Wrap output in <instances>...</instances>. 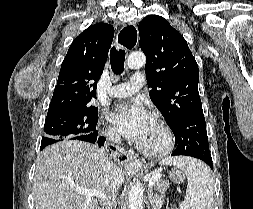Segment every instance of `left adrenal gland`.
I'll use <instances>...</instances> for the list:
<instances>
[{
    "label": "left adrenal gland",
    "mask_w": 253,
    "mask_h": 209,
    "mask_svg": "<svg viewBox=\"0 0 253 209\" xmlns=\"http://www.w3.org/2000/svg\"><path fill=\"white\" fill-rule=\"evenodd\" d=\"M148 207L151 206L153 209H160L162 205V199L157 197L154 193L152 188L148 190ZM150 209V207H149Z\"/></svg>",
    "instance_id": "1"
}]
</instances>
